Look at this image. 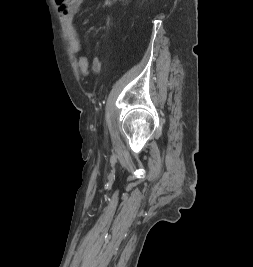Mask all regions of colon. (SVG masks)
Masks as SVG:
<instances>
[{
	"instance_id": "1",
	"label": "colon",
	"mask_w": 253,
	"mask_h": 267,
	"mask_svg": "<svg viewBox=\"0 0 253 267\" xmlns=\"http://www.w3.org/2000/svg\"><path fill=\"white\" fill-rule=\"evenodd\" d=\"M58 2L60 5L66 6V5L72 4L74 2V0H58Z\"/></svg>"
}]
</instances>
